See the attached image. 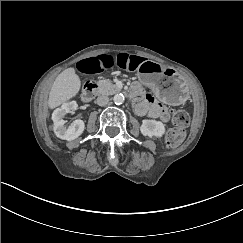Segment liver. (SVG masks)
Segmentation results:
<instances>
[{"instance_id": "liver-1", "label": "liver", "mask_w": 243, "mask_h": 243, "mask_svg": "<svg viewBox=\"0 0 243 243\" xmlns=\"http://www.w3.org/2000/svg\"><path fill=\"white\" fill-rule=\"evenodd\" d=\"M81 81L74 68H67L55 79L48 99V106L54 109L74 97L80 90Z\"/></svg>"}]
</instances>
